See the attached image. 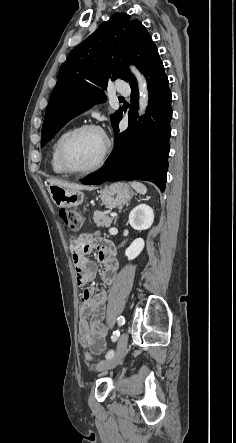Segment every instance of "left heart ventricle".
<instances>
[{"label": "left heart ventricle", "mask_w": 236, "mask_h": 443, "mask_svg": "<svg viewBox=\"0 0 236 443\" xmlns=\"http://www.w3.org/2000/svg\"><path fill=\"white\" fill-rule=\"evenodd\" d=\"M105 147V138L98 131H86L74 138L67 147L66 159L74 169L94 166Z\"/></svg>", "instance_id": "obj_1"}]
</instances>
